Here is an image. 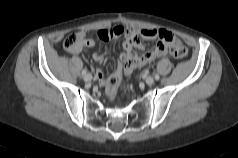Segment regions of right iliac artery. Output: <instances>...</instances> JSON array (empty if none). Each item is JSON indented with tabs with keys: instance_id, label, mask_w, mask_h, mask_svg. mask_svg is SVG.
<instances>
[{
	"instance_id": "82829eb1",
	"label": "right iliac artery",
	"mask_w": 238,
	"mask_h": 158,
	"mask_svg": "<svg viewBox=\"0 0 238 158\" xmlns=\"http://www.w3.org/2000/svg\"><path fill=\"white\" fill-rule=\"evenodd\" d=\"M87 71L85 69L82 70V74L85 75Z\"/></svg>"
}]
</instances>
